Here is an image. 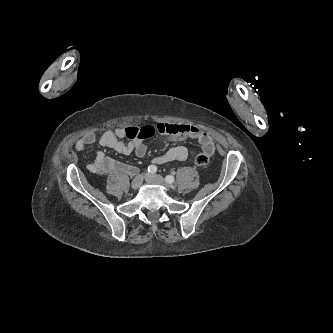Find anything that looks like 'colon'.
Wrapping results in <instances>:
<instances>
[{"instance_id": "colon-1", "label": "colon", "mask_w": 333, "mask_h": 333, "mask_svg": "<svg viewBox=\"0 0 333 333\" xmlns=\"http://www.w3.org/2000/svg\"><path fill=\"white\" fill-rule=\"evenodd\" d=\"M194 160L195 164L200 167H204L209 163V157L202 152L197 153Z\"/></svg>"}]
</instances>
